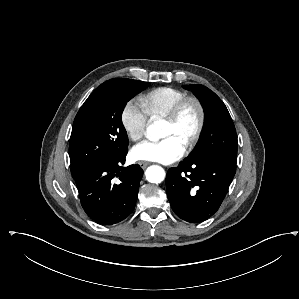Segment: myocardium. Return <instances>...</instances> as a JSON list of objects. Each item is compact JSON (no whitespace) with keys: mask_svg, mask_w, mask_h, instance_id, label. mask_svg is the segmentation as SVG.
I'll return each instance as SVG.
<instances>
[{"mask_svg":"<svg viewBox=\"0 0 299 299\" xmlns=\"http://www.w3.org/2000/svg\"><path fill=\"white\" fill-rule=\"evenodd\" d=\"M193 104L196 106L199 114L197 127L195 130L194 135L192 138L187 142L185 146V150L188 152L192 150L199 142L204 126L206 121V113L205 108L202 104V102L195 96H188L186 95L182 99H180L171 109V111L168 113L166 117H164V120L168 123L175 124L179 121L182 113L184 112L185 108L189 105Z\"/></svg>","mask_w":299,"mask_h":299,"instance_id":"obj_1","label":"myocardium"}]
</instances>
